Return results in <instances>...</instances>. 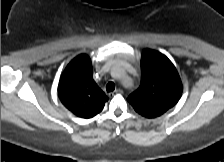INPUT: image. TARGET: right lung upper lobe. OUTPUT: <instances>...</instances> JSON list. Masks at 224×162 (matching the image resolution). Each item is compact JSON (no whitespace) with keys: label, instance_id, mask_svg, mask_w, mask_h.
Returning <instances> with one entry per match:
<instances>
[{"label":"right lung upper lobe","instance_id":"right-lung-upper-lobe-1","mask_svg":"<svg viewBox=\"0 0 224 162\" xmlns=\"http://www.w3.org/2000/svg\"><path fill=\"white\" fill-rule=\"evenodd\" d=\"M92 63L88 55L75 57L65 68L58 86L61 102L81 118H92L102 111L108 97L92 77Z\"/></svg>","mask_w":224,"mask_h":162}]
</instances>
